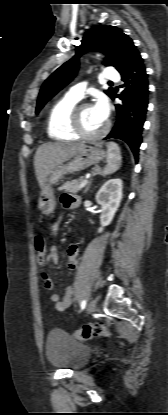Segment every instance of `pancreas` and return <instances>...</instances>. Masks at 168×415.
<instances>
[{
  "label": "pancreas",
  "mask_w": 168,
  "mask_h": 415,
  "mask_svg": "<svg viewBox=\"0 0 168 415\" xmlns=\"http://www.w3.org/2000/svg\"><path fill=\"white\" fill-rule=\"evenodd\" d=\"M84 180L83 177H80L73 181L65 182L60 188V191L70 192V193H76L78 190H80V184Z\"/></svg>",
  "instance_id": "cf45deb5"
}]
</instances>
